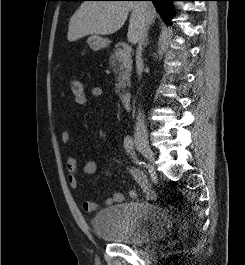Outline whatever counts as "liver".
Segmentation results:
<instances>
[{
    "label": "liver",
    "instance_id": "6515ba94",
    "mask_svg": "<svg viewBox=\"0 0 245 265\" xmlns=\"http://www.w3.org/2000/svg\"><path fill=\"white\" fill-rule=\"evenodd\" d=\"M130 11L127 37L129 42L136 44L142 9L139 2L131 1H85L70 19L67 39L72 42L87 35H111L124 25ZM151 13L154 18L156 10L153 5Z\"/></svg>",
    "mask_w": 245,
    "mask_h": 265
}]
</instances>
